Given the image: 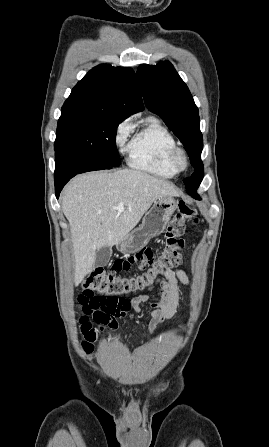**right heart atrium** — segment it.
<instances>
[{
	"mask_svg": "<svg viewBox=\"0 0 269 447\" xmlns=\"http://www.w3.org/2000/svg\"><path fill=\"white\" fill-rule=\"evenodd\" d=\"M132 130L133 125L128 118L124 119L117 125L114 135V142L118 148L123 146Z\"/></svg>",
	"mask_w": 269,
	"mask_h": 447,
	"instance_id": "1",
	"label": "right heart atrium"
}]
</instances>
